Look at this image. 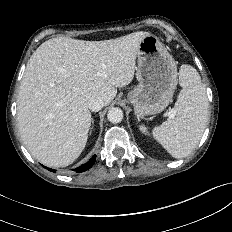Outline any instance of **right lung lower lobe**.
Here are the masks:
<instances>
[{
    "label": "right lung lower lobe",
    "mask_w": 232,
    "mask_h": 232,
    "mask_svg": "<svg viewBox=\"0 0 232 232\" xmlns=\"http://www.w3.org/2000/svg\"><path fill=\"white\" fill-rule=\"evenodd\" d=\"M95 160H96V155H93L92 158L87 163L76 168L75 171L77 173H81V172H84V171L90 169L93 166V164L95 163ZM48 170L55 172V170H52L50 168H48Z\"/></svg>",
    "instance_id": "right-lung-lower-lobe-1"
}]
</instances>
